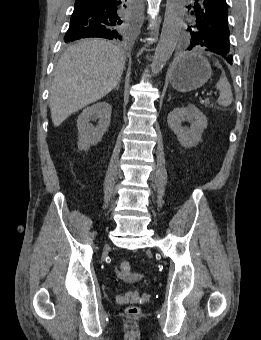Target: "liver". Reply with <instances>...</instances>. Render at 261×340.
<instances>
[{"label": "liver", "instance_id": "1", "mask_svg": "<svg viewBox=\"0 0 261 340\" xmlns=\"http://www.w3.org/2000/svg\"><path fill=\"white\" fill-rule=\"evenodd\" d=\"M123 52L100 39H85L60 58L50 88V111L55 127L70 115L107 95L120 82Z\"/></svg>", "mask_w": 261, "mask_h": 340}]
</instances>
